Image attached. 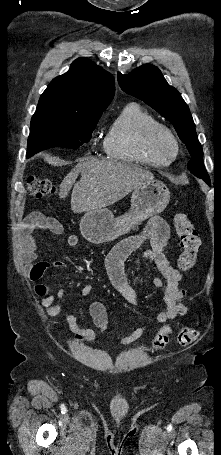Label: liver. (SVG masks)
Segmentation results:
<instances>
[{"label":"liver","mask_w":221,"mask_h":455,"mask_svg":"<svg viewBox=\"0 0 221 455\" xmlns=\"http://www.w3.org/2000/svg\"><path fill=\"white\" fill-rule=\"evenodd\" d=\"M81 179L75 183L78 174ZM150 171L137 165L117 161L90 159L79 162L60 184L59 197H67L72 186L71 210L82 213L112 205L147 180H153Z\"/></svg>","instance_id":"liver-1"}]
</instances>
